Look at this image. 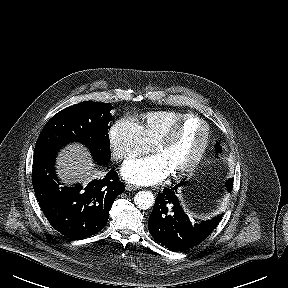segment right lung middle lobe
<instances>
[{
    "instance_id": "obj_1",
    "label": "right lung middle lobe",
    "mask_w": 288,
    "mask_h": 288,
    "mask_svg": "<svg viewBox=\"0 0 288 288\" xmlns=\"http://www.w3.org/2000/svg\"><path fill=\"white\" fill-rule=\"evenodd\" d=\"M110 103L85 101L58 112L41 131L34 159L54 157L69 142L85 144L97 163L110 160L108 123L112 116Z\"/></svg>"
}]
</instances>
